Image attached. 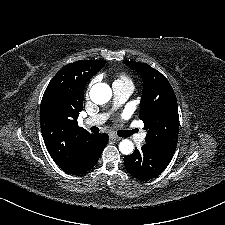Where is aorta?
<instances>
[{"instance_id": "1", "label": "aorta", "mask_w": 225, "mask_h": 225, "mask_svg": "<svg viewBox=\"0 0 225 225\" xmlns=\"http://www.w3.org/2000/svg\"><path fill=\"white\" fill-rule=\"evenodd\" d=\"M91 100L98 105L107 103L112 97V90L106 83H97L90 89ZM119 150L124 155H130L134 150L131 140L124 139L119 143Z\"/></svg>"}]
</instances>
